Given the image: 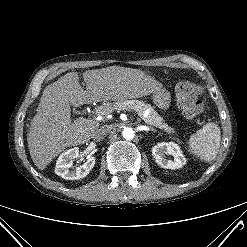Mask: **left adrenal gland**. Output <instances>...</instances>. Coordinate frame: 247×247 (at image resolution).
Returning <instances> with one entry per match:
<instances>
[{
    "label": "left adrenal gland",
    "instance_id": "obj_1",
    "mask_svg": "<svg viewBox=\"0 0 247 247\" xmlns=\"http://www.w3.org/2000/svg\"><path fill=\"white\" fill-rule=\"evenodd\" d=\"M150 131L156 132V130H155V129H153V128H151V129H150Z\"/></svg>",
    "mask_w": 247,
    "mask_h": 247
}]
</instances>
